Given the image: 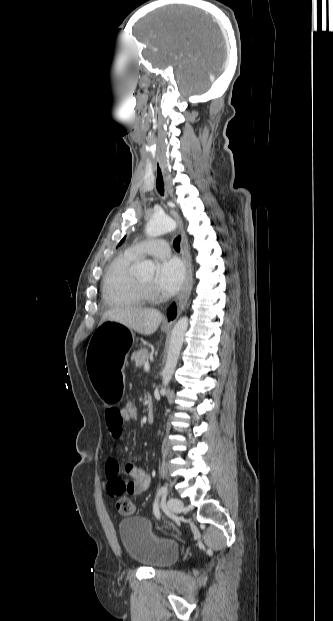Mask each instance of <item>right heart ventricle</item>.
Here are the masks:
<instances>
[{
  "mask_svg": "<svg viewBox=\"0 0 333 621\" xmlns=\"http://www.w3.org/2000/svg\"><path fill=\"white\" fill-rule=\"evenodd\" d=\"M137 261L138 257L127 251L110 264L102 286L103 298L108 305L141 306L148 301L132 273Z\"/></svg>",
  "mask_w": 333,
  "mask_h": 621,
  "instance_id": "right-heart-ventricle-1",
  "label": "right heart ventricle"
}]
</instances>
